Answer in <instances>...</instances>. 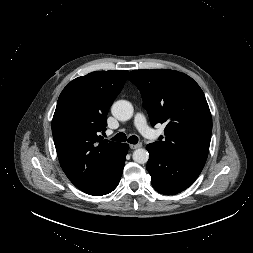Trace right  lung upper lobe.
Wrapping results in <instances>:
<instances>
[{
    "label": "right lung upper lobe",
    "instance_id": "right-lung-upper-lobe-1",
    "mask_svg": "<svg viewBox=\"0 0 253 253\" xmlns=\"http://www.w3.org/2000/svg\"><path fill=\"white\" fill-rule=\"evenodd\" d=\"M127 70L96 71L71 81L61 92L52 120L60 165L80 190L91 186L121 146L104 140L107 113L122 90Z\"/></svg>",
    "mask_w": 253,
    "mask_h": 253
}]
</instances>
